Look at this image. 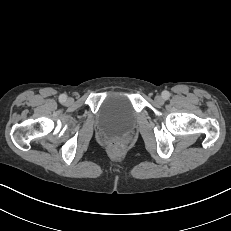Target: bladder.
I'll return each instance as SVG.
<instances>
[{
    "instance_id": "bladder-1",
    "label": "bladder",
    "mask_w": 231,
    "mask_h": 231,
    "mask_svg": "<svg viewBox=\"0 0 231 231\" xmlns=\"http://www.w3.org/2000/svg\"><path fill=\"white\" fill-rule=\"evenodd\" d=\"M136 118L132 98L126 93L113 92L101 103L96 123L106 134H121L134 125Z\"/></svg>"
}]
</instances>
